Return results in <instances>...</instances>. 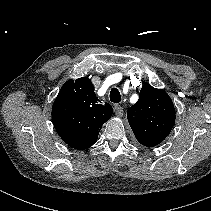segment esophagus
Segmentation results:
<instances>
[{"mask_svg":"<svg viewBox=\"0 0 211 211\" xmlns=\"http://www.w3.org/2000/svg\"><path fill=\"white\" fill-rule=\"evenodd\" d=\"M114 112L119 117L123 116V108H122V106H120L118 104H115L114 105Z\"/></svg>","mask_w":211,"mask_h":211,"instance_id":"esophagus-1","label":"esophagus"}]
</instances>
